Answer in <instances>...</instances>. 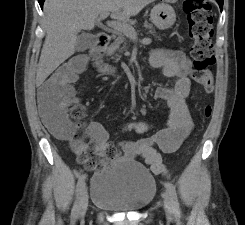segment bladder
<instances>
[{
    "label": "bladder",
    "mask_w": 245,
    "mask_h": 225,
    "mask_svg": "<svg viewBox=\"0 0 245 225\" xmlns=\"http://www.w3.org/2000/svg\"><path fill=\"white\" fill-rule=\"evenodd\" d=\"M90 201L94 207L112 211H139L148 206L157 191L148 169L135 161H119L90 178Z\"/></svg>",
    "instance_id": "bladder-1"
}]
</instances>
